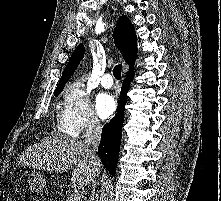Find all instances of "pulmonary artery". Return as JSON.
Returning <instances> with one entry per match:
<instances>
[{"instance_id":"e3ab8cb5","label":"pulmonary artery","mask_w":221,"mask_h":201,"mask_svg":"<svg viewBox=\"0 0 221 201\" xmlns=\"http://www.w3.org/2000/svg\"><path fill=\"white\" fill-rule=\"evenodd\" d=\"M101 85L104 88H110L113 85L112 75L109 73L104 74L101 78Z\"/></svg>"}]
</instances>
